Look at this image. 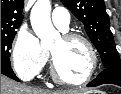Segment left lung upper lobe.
<instances>
[{"instance_id": "obj_1", "label": "left lung upper lobe", "mask_w": 121, "mask_h": 94, "mask_svg": "<svg viewBox=\"0 0 121 94\" xmlns=\"http://www.w3.org/2000/svg\"><path fill=\"white\" fill-rule=\"evenodd\" d=\"M85 25V30L100 53L105 69H121V60L113 41L104 0H61Z\"/></svg>"}]
</instances>
